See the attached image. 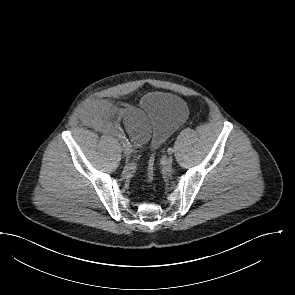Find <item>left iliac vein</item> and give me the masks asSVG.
I'll use <instances>...</instances> for the list:
<instances>
[{"label":"left iliac vein","instance_id":"obj_1","mask_svg":"<svg viewBox=\"0 0 295 295\" xmlns=\"http://www.w3.org/2000/svg\"><path fill=\"white\" fill-rule=\"evenodd\" d=\"M172 164H173V158L172 157H168L166 159V161H165V167L168 168V169H170L171 166H172Z\"/></svg>","mask_w":295,"mask_h":295}]
</instances>
